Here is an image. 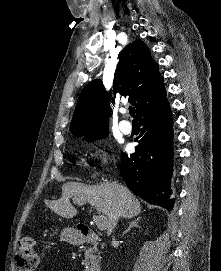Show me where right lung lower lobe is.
<instances>
[{
    "instance_id": "obj_1",
    "label": "right lung lower lobe",
    "mask_w": 221,
    "mask_h": 271,
    "mask_svg": "<svg viewBox=\"0 0 221 271\" xmlns=\"http://www.w3.org/2000/svg\"><path fill=\"white\" fill-rule=\"evenodd\" d=\"M139 122L143 126L135 139L139 144L134 154L122 153L121 174L136 195L170 209L175 199L170 197L173 120L168 102L144 113Z\"/></svg>"
}]
</instances>
